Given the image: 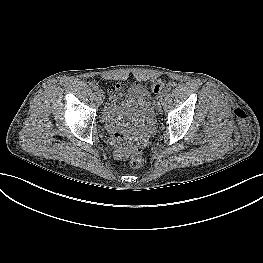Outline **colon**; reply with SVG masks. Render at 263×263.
<instances>
[{"mask_svg": "<svg viewBox=\"0 0 263 263\" xmlns=\"http://www.w3.org/2000/svg\"><path fill=\"white\" fill-rule=\"evenodd\" d=\"M161 87H162V84L156 83L154 85V91L155 92H159ZM115 96H116V94H115ZM112 136L116 140H122L123 139V135L118 133V132H114ZM129 164H130V166L132 168H139V167H141L143 165V158L140 155L134 156V157L131 158Z\"/></svg>", "mask_w": 263, "mask_h": 263, "instance_id": "colon-1", "label": "colon"}]
</instances>
